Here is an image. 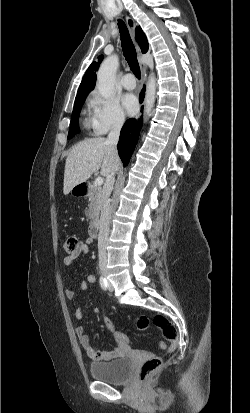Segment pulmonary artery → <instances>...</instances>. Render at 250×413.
<instances>
[{
	"mask_svg": "<svg viewBox=\"0 0 250 413\" xmlns=\"http://www.w3.org/2000/svg\"><path fill=\"white\" fill-rule=\"evenodd\" d=\"M122 85L128 90H132L136 87L135 77L131 73H127L122 78Z\"/></svg>",
	"mask_w": 250,
	"mask_h": 413,
	"instance_id": "1",
	"label": "pulmonary artery"
}]
</instances>
